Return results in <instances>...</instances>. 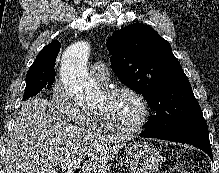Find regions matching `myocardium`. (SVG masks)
<instances>
[{
    "mask_svg": "<svg viewBox=\"0 0 219 173\" xmlns=\"http://www.w3.org/2000/svg\"><path fill=\"white\" fill-rule=\"evenodd\" d=\"M120 93H126V94L133 96L138 101L141 107V115H140L139 121L134 127H132L131 129H121V128L114 126L108 120V118L103 113V111L101 110H96V115L99 119L101 126L106 131L113 133L115 135H118V136H124V137L134 136L140 133L146 126L149 120V117H150V106L147 100L145 99V97L139 91L129 86H125V85L112 86V87L105 89L104 91V94L108 98H111Z\"/></svg>",
    "mask_w": 219,
    "mask_h": 173,
    "instance_id": "1",
    "label": "myocardium"
}]
</instances>
